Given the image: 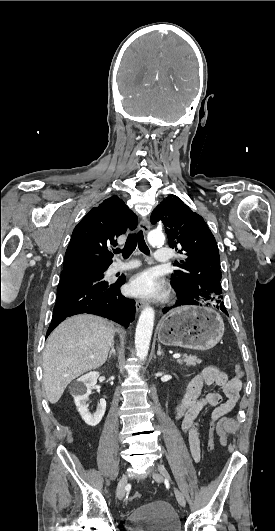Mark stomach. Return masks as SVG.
I'll use <instances>...</instances> for the list:
<instances>
[{"label":"stomach","instance_id":"0dacf381","mask_svg":"<svg viewBox=\"0 0 275 531\" xmlns=\"http://www.w3.org/2000/svg\"><path fill=\"white\" fill-rule=\"evenodd\" d=\"M224 323L221 315L202 307L200 301H187L162 317L158 325V339L168 347H182L194 351H208L221 341Z\"/></svg>","mask_w":275,"mask_h":531}]
</instances>
